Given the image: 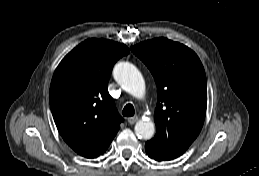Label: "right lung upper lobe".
<instances>
[{
  "label": "right lung upper lobe",
  "instance_id": "obj_1",
  "mask_svg": "<svg viewBox=\"0 0 259 176\" xmlns=\"http://www.w3.org/2000/svg\"><path fill=\"white\" fill-rule=\"evenodd\" d=\"M127 46L106 39H87L56 68L49 92L52 115L65 142L79 155L104 153L123 120L108 93L115 62Z\"/></svg>",
  "mask_w": 259,
  "mask_h": 176
}]
</instances>
